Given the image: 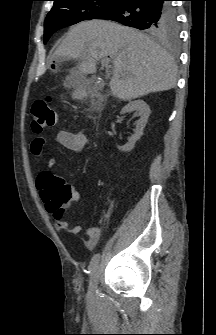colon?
Returning <instances> with one entry per match:
<instances>
[{
	"instance_id": "obj_1",
	"label": "colon",
	"mask_w": 216,
	"mask_h": 335,
	"mask_svg": "<svg viewBox=\"0 0 216 335\" xmlns=\"http://www.w3.org/2000/svg\"><path fill=\"white\" fill-rule=\"evenodd\" d=\"M31 120H32V128L36 132H43L44 130L51 128L55 125L57 120V112L50 105V98L45 100H38L34 103L31 110ZM50 194L52 196L57 195L60 200L57 205L63 207L70 199V191L64 186L59 190V187L54 182L51 187Z\"/></svg>"
}]
</instances>
